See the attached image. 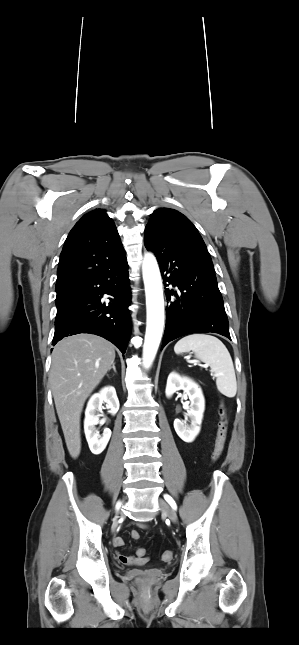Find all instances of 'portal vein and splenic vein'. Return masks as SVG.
Masks as SVG:
<instances>
[{
	"mask_svg": "<svg viewBox=\"0 0 299 645\" xmlns=\"http://www.w3.org/2000/svg\"><path fill=\"white\" fill-rule=\"evenodd\" d=\"M203 367H204V368H207L208 366H207V365H203Z\"/></svg>",
	"mask_w": 299,
	"mask_h": 645,
	"instance_id": "portal-vein-and-splenic-vein-1",
	"label": "portal vein and splenic vein"
}]
</instances>
